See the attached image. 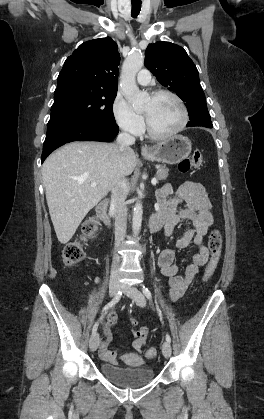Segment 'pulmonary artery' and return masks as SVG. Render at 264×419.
<instances>
[{
    "instance_id": "e3ab8cb5",
    "label": "pulmonary artery",
    "mask_w": 264,
    "mask_h": 419,
    "mask_svg": "<svg viewBox=\"0 0 264 419\" xmlns=\"http://www.w3.org/2000/svg\"><path fill=\"white\" fill-rule=\"evenodd\" d=\"M151 74L147 69L138 72L136 80L140 85H147L150 82Z\"/></svg>"
}]
</instances>
